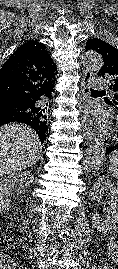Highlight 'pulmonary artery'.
<instances>
[{
    "instance_id": "obj_1",
    "label": "pulmonary artery",
    "mask_w": 118,
    "mask_h": 269,
    "mask_svg": "<svg viewBox=\"0 0 118 269\" xmlns=\"http://www.w3.org/2000/svg\"><path fill=\"white\" fill-rule=\"evenodd\" d=\"M92 86L96 89H104L107 87V82L103 78H95L92 81Z\"/></svg>"
}]
</instances>
